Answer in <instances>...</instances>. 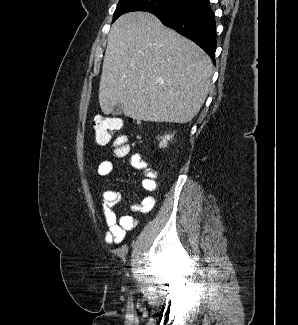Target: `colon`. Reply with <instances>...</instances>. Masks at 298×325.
<instances>
[{"label":"colon","mask_w":298,"mask_h":325,"mask_svg":"<svg viewBox=\"0 0 298 325\" xmlns=\"http://www.w3.org/2000/svg\"><path fill=\"white\" fill-rule=\"evenodd\" d=\"M93 130L95 141L100 145H105L111 141L113 134L118 133L122 128V120L106 115H98L94 118ZM129 146L125 144V139L120 137L116 141V154L118 156H126L129 153ZM133 165L137 169L145 170L148 165L146 161L138 155L132 157Z\"/></svg>","instance_id":"obj_1"}]
</instances>
